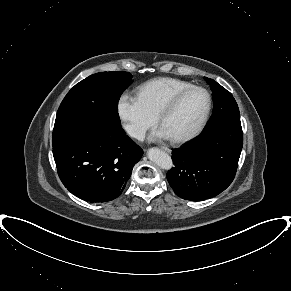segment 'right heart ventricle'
<instances>
[{
    "instance_id": "e07e8e85",
    "label": "right heart ventricle",
    "mask_w": 291,
    "mask_h": 291,
    "mask_svg": "<svg viewBox=\"0 0 291 291\" xmlns=\"http://www.w3.org/2000/svg\"><path fill=\"white\" fill-rule=\"evenodd\" d=\"M192 86L191 83L171 77H159L147 81L137 88V97L147 111L157 117L163 106L179 91Z\"/></svg>"
}]
</instances>
